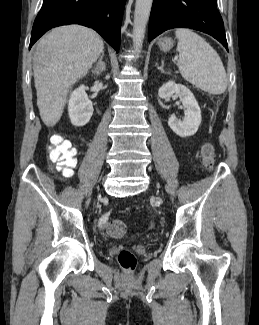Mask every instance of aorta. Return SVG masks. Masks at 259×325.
Listing matches in <instances>:
<instances>
[{
	"label": "aorta",
	"mask_w": 259,
	"mask_h": 325,
	"mask_svg": "<svg viewBox=\"0 0 259 325\" xmlns=\"http://www.w3.org/2000/svg\"><path fill=\"white\" fill-rule=\"evenodd\" d=\"M152 2L153 0H136L133 22V46L136 53L142 49Z\"/></svg>",
	"instance_id": "obj_1"
}]
</instances>
